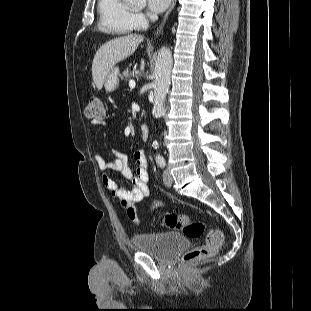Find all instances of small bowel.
I'll list each match as a JSON object with an SVG mask.
<instances>
[{
    "label": "small bowel",
    "instance_id": "small-bowel-1",
    "mask_svg": "<svg viewBox=\"0 0 311 311\" xmlns=\"http://www.w3.org/2000/svg\"><path fill=\"white\" fill-rule=\"evenodd\" d=\"M105 125L103 120L92 121L91 127L95 131ZM113 159H106L102 153L96 152L95 162L98 168L104 172L102 175V183L104 186L120 200L121 206L126 210L127 217L135 225H140L141 221L136 211V204L145 201L150 196L148 186V168L145 152L139 149L132 155V160L135 164V169H132L129 164L127 154L120 151H113ZM118 172L127 180L132 182L130 188L121 187L107 173ZM163 205L155 203L152 207Z\"/></svg>",
    "mask_w": 311,
    "mask_h": 311
}]
</instances>
